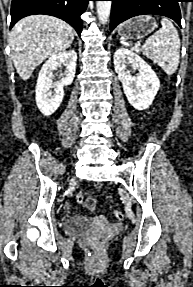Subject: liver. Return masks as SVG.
Instances as JSON below:
<instances>
[{"label": "liver", "mask_w": 193, "mask_h": 287, "mask_svg": "<svg viewBox=\"0 0 193 287\" xmlns=\"http://www.w3.org/2000/svg\"><path fill=\"white\" fill-rule=\"evenodd\" d=\"M73 40V28L61 19L47 15L25 17L10 33L11 57L17 73L28 80L38 65L68 49Z\"/></svg>", "instance_id": "1"}]
</instances>
